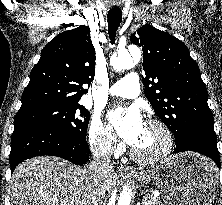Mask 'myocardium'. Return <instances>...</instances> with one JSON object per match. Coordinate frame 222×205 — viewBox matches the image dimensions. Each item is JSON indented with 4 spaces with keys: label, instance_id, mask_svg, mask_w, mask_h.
Instances as JSON below:
<instances>
[{
    "label": "myocardium",
    "instance_id": "myocardium-1",
    "mask_svg": "<svg viewBox=\"0 0 222 205\" xmlns=\"http://www.w3.org/2000/svg\"><path fill=\"white\" fill-rule=\"evenodd\" d=\"M146 124L153 125L157 127L165 138V143L163 148L156 154L150 156H144L139 154L133 147L130 149V156L133 160L141 164H154L166 159L172 152L174 145V137L170 128L161 120L149 119Z\"/></svg>",
    "mask_w": 222,
    "mask_h": 205
}]
</instances>
